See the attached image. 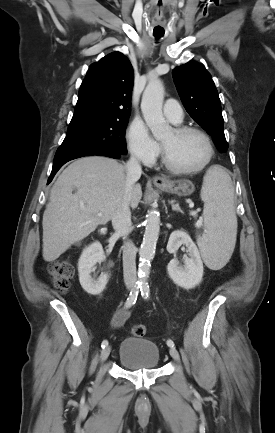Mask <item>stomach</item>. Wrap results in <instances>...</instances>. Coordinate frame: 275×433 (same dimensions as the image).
Returning a JSON list of instances; mask_svg holds the SVG:
<instances>
[{"label": "stomach", "mask_w": 275, "mask_h": 433, "mask_svg": "<svg viewBox=\"0 0 275 433\" xmlns=\"http://www.w3.org/2000/svg\"><path fill=\"white\" fill-rule=\"evenodd\" d=\"M155 186L162 191L178 196H190L195 190L193 183L189 180L172 181L166 185L156 184Z\"/></svg>", "instance_id": "stomach-1"}]
</instances>
